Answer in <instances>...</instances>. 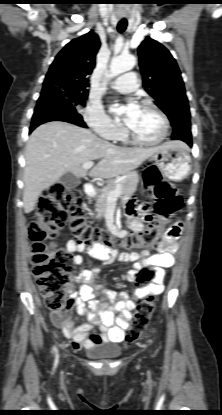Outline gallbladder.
I'll return each instance as SVG.
<instances>
[{"label":"gallbladder","instance_id":"obj_1","mask_svg":"<svg viewBox=\"0 0 222 415\" xmlns=\"http://www.w3.org/2000/svg\"><path fill=\"white\" fill-rule=\"evenodd\" d=\"M64 187L68 189L76 188L80 185V180L71 172L65 173L59 181Z\"/></svg>","mask_w":222,"mask_h":415}]
</instances>
